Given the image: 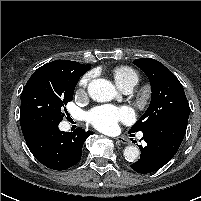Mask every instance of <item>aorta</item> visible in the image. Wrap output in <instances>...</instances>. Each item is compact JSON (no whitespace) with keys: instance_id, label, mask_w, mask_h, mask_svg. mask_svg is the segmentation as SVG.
I'll return each mask as SVG.
<instances>
[{"instance_id":"obj_1","label":"aorta","mask_w":201,"mask_h":201,"mask_svg":"<svg viewBox=\"0 0 201 201\" xmlns=\"http://www.w3.org/2000/svg\"><path fill=\"white\" fill-rule=\"evenodd\" d=\"M88 93L97 102H107L115 97L116 90L111 82L98 78L89 83ZM123 155L127 161L134 162L138 159L140 151L136 146L130 145L124 149Z\"/></svg>"}]
</instances>
